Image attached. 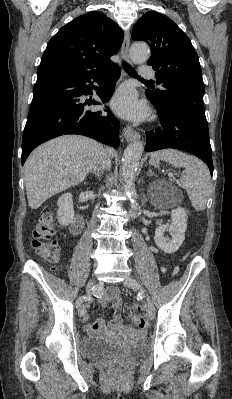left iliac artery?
<instances>
[{
  "mask_svg": "<svg viewBox=\"0 0 232 399\" xmlns=\"http://www.w3.org/2000/svg\"><path fill=\"white\" fill-rule=\"evenodd\" d=\"M144 297H145L144 290L143 289H139L138 293H137V296H136L137 300H142Z\"/></svg>",
  "mask_w": 232,
  "mask_h": 399,
  "instance_id": "obj_1",
  "label": "left iliac artery"
}]
</instances>
